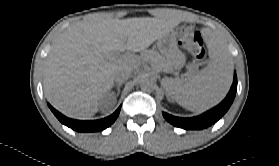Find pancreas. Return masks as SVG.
<instances>
[{"label": "pancreas", "instance_id": "1", "mask_svg": "<svg viewBox=\"0 0 279 166\" xmlns=\"http://www.w3.org/2000/svg\"><path fill=\"white\" fill-rule=\"evenodd\" d=\"M145 61L150 62L156 69L165 70L168 68L167 62L164 58L155 50H147L142 54Z\"/></svg>", "mask_w": 279, "mask_h": 166}]
</instances>
